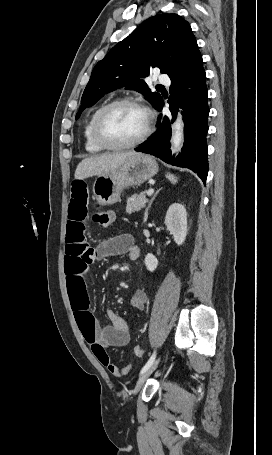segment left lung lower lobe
<instances>
[{
  "instance_id": "0a47b994",
  "label": "left lung lower lobe",
  "mask_w": 272,
  "mask_h": 455,
  "mask_svg": "<svg viewBox=\"0 0 272 455\" xmlns=\"http://www.w3.org/2000/svg\"><path fill=\"white\" fill-rule=\"evenodd\" d=\"M169 77L170 111L175 116L178 107L183 109L185 141L181 154L176 159L171 157V123L167 116L158 118L156 133L140 147L135 148V151L154 155L168 164L189 168L205 183L208 174L206 134L209 108L202 57H198L190 65ZM163 105L162 99L155 108L161 111Z\"/></svg>"
}]
</instances>
